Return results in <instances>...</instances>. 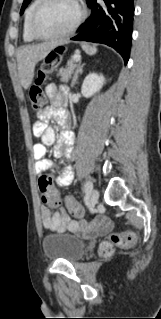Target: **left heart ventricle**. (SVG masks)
<instances>
[{
  "label": "left heart ventricle",
  "mask_w": 161,
  "mask_h": 319,
  "mask_svg": "<svg viewBox=\"0 0 161 319\" xmlns=\"http://www.w3.org/2000/svg\"><path fill=\"white\" fill-rule=\"evenodd\" d=\"M76 14L72 0H49L37 16L36 29L43 35L60 33L72 23Z\"/></svg>",
  "instance_id": "left-heart-ventricle-1"
}]
</instances>
